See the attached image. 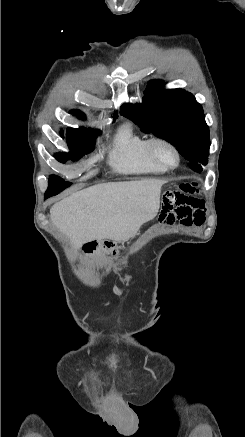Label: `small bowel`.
Listing matches in <instances>:
<instances>
[{"mask_svg":"<svg viewBox=\"0 0 245 437\" xmlns=\"http://www.w3.org/2000/svg\"><path fill=\"white\" fill-rule=\"evenodd\" d=\"M194 183H178L177 190L171 191L163 200V208L159 209L158 222L175 227L179 221L185 227H199L205 222V203L193 193Z\"/></svg>","mask_w":245,"mask_h":437,"instance_id":"obj_1","label":"small bowel"}]
</instances>
